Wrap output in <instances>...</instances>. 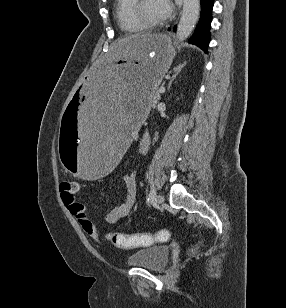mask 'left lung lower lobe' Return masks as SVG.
I'll list each match as a JSON object with an SVG mask.
<instances>
[{"instance_id":"obj_1","label":"left lung lower lobe","mask_w":286,"mask_h":308,"mask_svg":"<svg viewBox=\"0 0 286 308\" xmlns=\"http://www.w3.org/2000/svg\"><path fill=\"white\" fill-rule=\"evenodd\" d=\"M201 1V15L196 26L192 38L189 40L191 44H195L203 51H207L210 41V24L212 20V8L214 0H200ZM176 29V26L174 27Z\"/></svg>"}]
</instances>
